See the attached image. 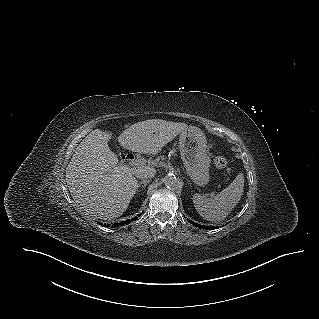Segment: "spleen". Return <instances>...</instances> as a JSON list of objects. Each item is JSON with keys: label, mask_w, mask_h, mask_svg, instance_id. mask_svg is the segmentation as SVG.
Listing matches in <instances>:
<instances>
[{"label": "spleen", "mask_w": 319, "mask_h": 319, "mask_svg": "<svg viewBox=\"0 0 319 319\" xmlns=\"http://www.w3.org/2000/svg\"><path fill=\"white\" fill-rule=\"evenodd\" d=\"M244 191V175L239 173L234 181L216 196L207 198L200 194L193 195L196 211L204 219L221 222L238 204Z\"/></svg>", "instance_id": "spleen-1"}]
</instances>
